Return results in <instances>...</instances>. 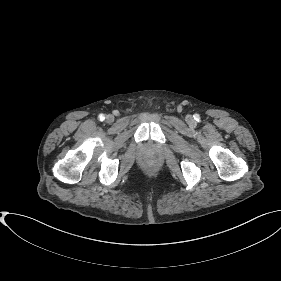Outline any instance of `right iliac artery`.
<instances>
[{"instance_id": "obj_1", "label": "right iliac artery", "mask_w": 281, "mask_h": 281, "mask_svg": "<svg viewBox=\"0 0 281 281\" xmlns=\"http://www.w3.org/2000/svg\"><path fill=\"white\" fill-rule=\"evenodd\" d=\"M105 119V116L103 114L99 115V120L103 121Z\"/></svg>"}]
</instances>
